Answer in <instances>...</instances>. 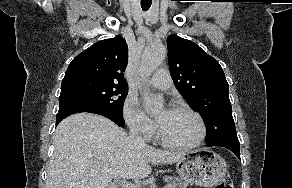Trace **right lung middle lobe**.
<instances>
[{
    "instance_id": "obj_1",
    "label": "right lung middle lobe",
    "mask_w": 292,
    "mask_h": 188,
    "mask_svg": "<svg viewBox=\"0 0 292 188\" xmlns=\"http://www.w3.org/2000/svg\"><path fill=\"white\" fill-rule=\"evenodd\" d=\"M127 85L93 78H74L62 81L59 103L81 101L116 116H122Z\"/></svg>"
}]
</instances>
